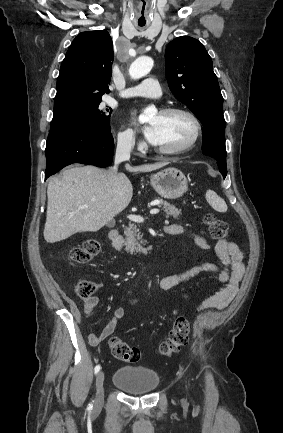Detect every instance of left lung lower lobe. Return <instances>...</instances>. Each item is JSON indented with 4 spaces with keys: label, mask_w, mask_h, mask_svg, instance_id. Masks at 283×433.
<instances>
[{
    "label": "left lung lower lobe",
    "mask_w": 283,
    "mask_h": 433,
    "mask_svg": "<svg viewBox=\"0 0 283 433\" xmlns=\"http://www.w3.org/2000/svg\"><path fill=\"white\" fill-rule=\"evenodd\" d=\"M202 150L204 155H209L218 160L219 171L223 175V178H225L227 174L225 140H220L217 134H204Z\"/></svg>",
    "instance_id": "0a47b994"
}]
</instances>
